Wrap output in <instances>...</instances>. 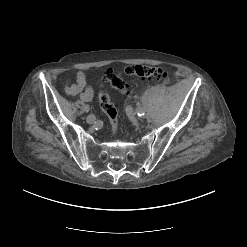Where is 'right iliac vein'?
<instances>
[{
    "instance_id": "63e3f726",
    "label": "right iliac vein",
    "mask_w": 247,
    "mask_h": 247,
    "mask_svg": "<svg viewBox=\"0 0 247 247\" xmlns=\"http://www.w3.org/2000/svg\"><path fill=\"white\" fill-rule=\"evenodd\" d=\"M87 123L92 124L95 121L94 115H89L86 119Z\"/></svg>"
}]
</instances>
